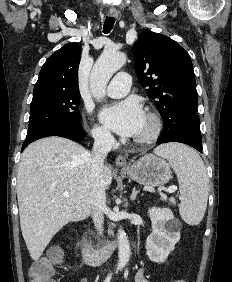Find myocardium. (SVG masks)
I'll list each match as a JSON object with an SVG mask.
<instances>
[{"label": "myocardium", "instance_id": "obj_1", "mask_svg": "<svg viewBox=\"0 0 232 282\" xmlns=\"http://www.w3.org/2000/svg\"><path fill=\"white\" fill-rule=\"evenodd\" d=\"M146 118L149 123L148 131L139 137L134 138V143L139 145L150 144L154 142L161 134L163 128V122L158 113L154 111H148Z\"/></svg>", "mask_w": 232, "mask_h": 282}]
</instances>
